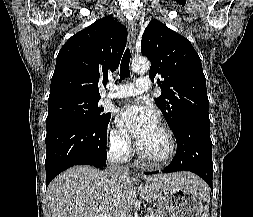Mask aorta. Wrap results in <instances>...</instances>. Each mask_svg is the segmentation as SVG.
<instances>
[{
    "instance_id": "1",
    "label": "aorta",
    "mask_w": 253,
    "mask_h": 217,
    "mask_svg": "<svg viewBox=\"0 0 253 217\" xmlns=\"http://www.w3.org/2000/svg\"><path fill=\"white\" fill-rule=\"evenodd\" d=\"M134 73H144L149 70L150 62L146 58H135L131 64Z\"/></svg>"
}]
</instances>
